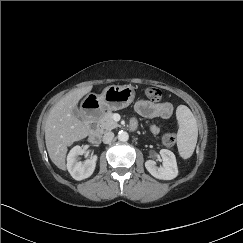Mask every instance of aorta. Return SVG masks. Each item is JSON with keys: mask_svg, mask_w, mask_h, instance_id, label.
I'll return each mask as SVG.
<instances>
[{"mask_svg": "<svg viewBox=\"0 0 243 243\" xmlns=\"http://www.w3.org/2000/svg\"><path fill=\"white\" fill-rule=\"evenodd\" d=\"M128 139H129V135H128L127 132H125V131H120V132L118 133V140H119V141H121V142H126V141H128Z\"/></svg>", "mask_w": 243, "mask_h": 243, "instance_id": "762f6f07", "label": "aorta"}]
</instances>
